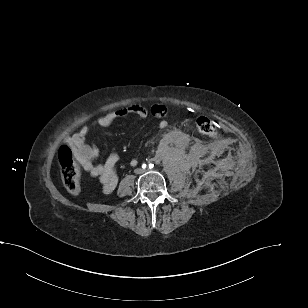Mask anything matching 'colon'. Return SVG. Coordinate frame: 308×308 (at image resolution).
<instances>
[{"label":"colon","mask_w":308,"mask_h":308,"mask_svg":"<svg viewBox=\"0 0 308 308\" xmlns=\"http://www.w3.org/2000/svg\"><path fill=\"white\" fill-rule=\"evenodd\" d=\"M195 124L199 132L206 136L217 137L219 135L216 123L206 116L198 117ZM58 162L64 186L70 193L78 194L80 192L81 168L70 146L64 145L59 149Z\"/></svg>","instance_id":"obj_1"}]
</instances>
